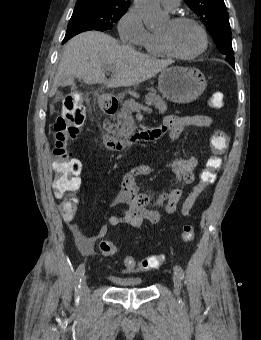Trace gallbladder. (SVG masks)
<instances>
[{"label": "gallbladder", "mask_w": 261, "mask_h": 340, "mask_svg": "<svg viewBox=\"0 0 261 340\" xmlns=\"http://www.w3.org/2000/svg\"><path fill=\"white\" fill-rule=\"evenodd\" d=\"M67 85H74V81L72 80L71 82L65 84V85H62V86H67Z\"/></svg>", "instance_id": "obj_1"}]
</instances>
